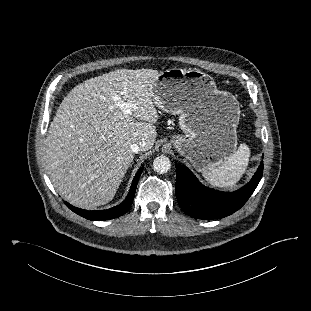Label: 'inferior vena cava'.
Here are the masks:
<instances>
[{
    "label": "inferior vena cava",
    "instance_id": "obj_1",
    "mask_svg": "<svg viewBox=\"0 0 311 311\" xmlns=\"http://www.w3.org/2000/svg\"><path fill=\"white\" fill-rule=\"evenodd\" d=\"M145 142L133 143L130 146V149L133 153H138L143 150Z\"/></svg>",
    "mask_w": 311,
    "mask_h": 311
}]
</instances>
